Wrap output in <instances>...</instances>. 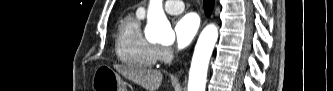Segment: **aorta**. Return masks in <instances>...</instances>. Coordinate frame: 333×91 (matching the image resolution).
<instances>
[{
    "instance_id": "1",
    "label": "aorta",
    "mask_w": 333,
    "mask_h": 91,
    "mask_svg": "<svg viewBox=\"0 0 333 91\" xmlns=\"http://www.w3.org/2000/svg\"><path fill=\"white\" fill-rule=\"evenodd\" d=\"M146 37L159 42L172 41L175 34L162 9V0H151L146 26ZM218 39V28L207 25L195 46L189 71L188 91H205L209 61Z\"/></svg>"
}]
</instances>
